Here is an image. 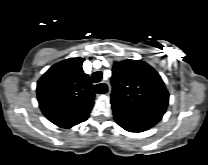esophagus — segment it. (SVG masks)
I'll use <instances>...</instances> for the list:
<instances>
[{
  "instance_id": "obj_1",
  "label": "esophagus",
  "mask_w": 208,
  "mask_h": 165,
  "mask_svg": "<svg viewBox=\"0 0 208 165\" xmlns=\"http://www.w3.org/2000/svg\"><path fill=\"white\" fill-rule=\"evenodd\" d=\"M100 84L105 85L107 87V91L105 94L109 93V85L106 82H101Z\"/></svg>"
}]
</instances>
